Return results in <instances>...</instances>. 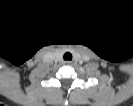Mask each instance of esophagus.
Listing matches in <instances>:
<instances>
[{
	"label": "esophagus",
	"instance_id": "esophagus-1",
	"mask_svg": "<svg viewBox=\"0 0 133 106\" xmlns=\"http://www.w3.org/2000/svg\"><path fill=\"white\" fill-rule=\"evenodd\" d=\"M66 65H72V61H65Z\"/></svg>",
	"mask_w": 133,
	"mask_h": 106
}]
</instances>
